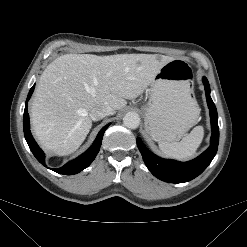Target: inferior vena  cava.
Returning <instances> with one entry per match:
<instances>
[{
  "mask_svg": "<svg viewBox=\"0 0 247 247\" xmlns=\"http://www.w3.org/2000/svg\"><path fill=\"white\" fill-rule=\"evenodd\" d=\"M115 110L109 105H99L93 108L90 112V117L93 121H98L106 116L113 115Z\"/></svg>",
  "mask_w": 247,
  "mask_h": 247,
  "instance_id": "602c4592",
  "label": "inferior vena cava"
}]
</instances>
